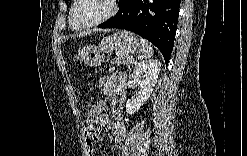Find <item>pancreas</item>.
Returning <instances> with one entry per match:
<instances>
[{
  "mask_svg": "<svg viewBox=\"0 0 247 156\" xmlns=\"http://www.w3.org/2000/svg\"><path fill=\"white\" fill-rule=\"evenodd\" d=\"M133 58L130 55H125L123 53H118L117 57L112 60L113 64H124L127 65L132 61Z\"/></svg>",
  "mask_w": 247,
  "mask_h": 156,
  "instance_id": "1",
  "label": "pancreas"
}]
</instances>
